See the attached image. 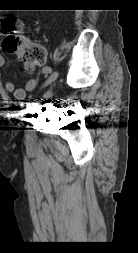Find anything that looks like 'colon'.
I'll return each instance as SVG.
<instances>
[{
  "label": "colon",
  "mask_w": 138,
  "mask_h": 253,
  "mask_svg": "<svg viewBox=\"0 0 138 253\" xmlns=\"http://www.w3.org/2000/svg\"><path fill=\"white\" fill-rule=\"evenodd\" d=\"M20 22L14 17H7L2 23L4 38L2 47L6 52L17 53L20 61L27 69L45 63V49L29 41L20 31Z\"/></svg>",
  "instance_id": "colon-1"
}]
</instances>
